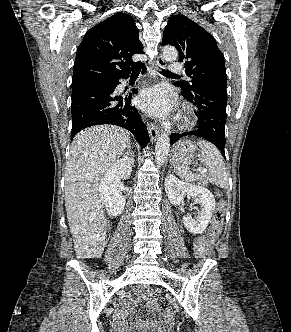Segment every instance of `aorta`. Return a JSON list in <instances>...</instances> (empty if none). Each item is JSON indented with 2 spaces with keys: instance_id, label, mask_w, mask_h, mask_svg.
<instances>
[{
  "instance_id": "762f6f07",
  "label": "aorta",
  "mask_w": 291,
  "mask_h": 332,
  "mask_svg": "<svg viewBox=\"0 0 291 332\" xmlns=\"http://www.w3.org/2000/svg\"><path fill=\"white\" fill-rule=\"evenodd\" d=\"M178 57V51L172 46L163 48V59L167 62L175 61ZM170 139L167 132L161 133L155 146V162L158 167L162 166L169 153Z\"/></svg>"
}]
</instances>
